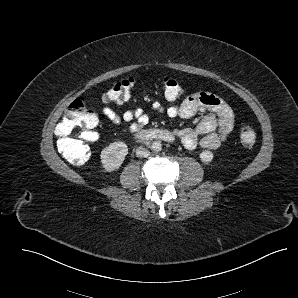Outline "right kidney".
I'll list each match as a JSON object with an SVG mask.
<instances>
[{
	"label": "right kidney",
	"instance_id": "1",
	"mask_svg": "<svg viewBox=\"0 0 298 298\" xmlns=\"http://www.w3.org/2000/svg\"><path fill=\"white\" fill-rule=\"evenodd\" d=\"M128 154V147L124 142H113L101 151V162L107 172L118 169Z\"/></svg>",
	"mask_w": 298,
	"mask_h": 298
}]
</instances>
